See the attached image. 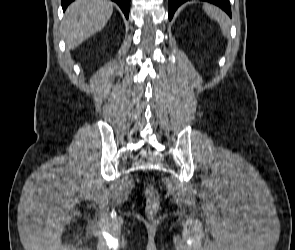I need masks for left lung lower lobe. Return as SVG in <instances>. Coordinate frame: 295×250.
<instances>
[{"label":"left lung lower lobe","instance_id":"obj_1","mask_svg":"<svg viewBox=\"0 0 295 250\" xmlns=\"http://www.w3.org/2000/svg\"><path fill=\"white\" fill-rule=\"evenodd\" d=\"M186 1L187 0H169V19L170 20L172 19L176 9ZM202 1L210 2L221 7L231 17V8H230L229 0H202Z\"/></svg>","mask_w":295,"mask_h":250}]
</instances>
